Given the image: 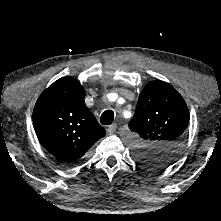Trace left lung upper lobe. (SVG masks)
<instances>
[{
    "label": "left lung upper lobe",
    "instance_id": "5c2ea615",
    "mask_svg": "<svg viewBox=\"0 0 221 221\" xmlns=\"http://www.w3.org/2000/svg\"><path fill=\"white\" fill-rule=\"evenodd\" d=\"M189 111L182 96L168 83L155 80L141 91L129 128L137 134L135 159L150 168L163 169L179 154Z\"/></svg>",
    "mask_w": 221,
    "mask_h": 221
}]
</instances>
